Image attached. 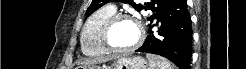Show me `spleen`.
<instances>
[{
    "mask_svg": "<svg viewBox=\"0 0 246 69\" xmlns=\"http://www.w3.org/2000/svg\"><path fill=\"white\" fill-rule=\"evenodd\" d=\"M147 59L149 60L150 69H175V67L165 58L147 54Z\"/></svg>",
    "mask_w": 246,
    "mask_h": 69,
    "instance_id": "3e777b00",
    "label": "spleen"
}]
</instances>
